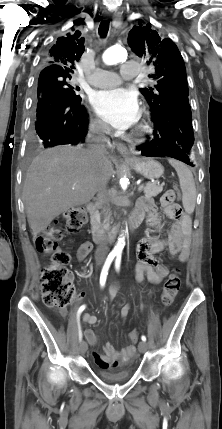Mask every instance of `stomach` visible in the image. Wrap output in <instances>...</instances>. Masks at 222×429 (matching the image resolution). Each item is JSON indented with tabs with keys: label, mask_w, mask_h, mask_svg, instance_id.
Here are the masks:
<instances>
[{
	"label": "stomach",
	"mask_w": 222,
	"mask_h": 429,
	"mask_svg": "<svg viewBox=\"0 0 222 429\" xmlns=\"http://www.w3.org/2000/svg\"><path fill=\"white\" fill-rule=\"evenodd\" d=\"M130 166L148 179H157L164 173L163 166L153 159H137L131 161Z\"/></svg>",
	"instance_id": "0dacf381"
}]
</instances>
